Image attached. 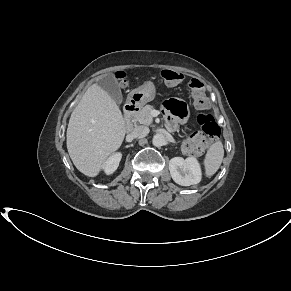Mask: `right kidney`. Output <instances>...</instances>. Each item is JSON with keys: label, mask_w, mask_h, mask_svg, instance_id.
Segmentation results:
<instances>
[{"label": "right kidney", "mask_w": 291, "mask_h": 291, "mask_svg": "<svg viewBox=\"0 0 291 291\" xmlns=\"http://www.w3.org/2000/svg\"><path fill=\"white\" fill-rule=\"evenodd\" d=\"M122 158V154L120 152L111 155L107 161L105 162L103 169L107 175L112 174L119 165V162Z\"/></svg>", "instance_id": "right-kidney-1"}]
</instances>
